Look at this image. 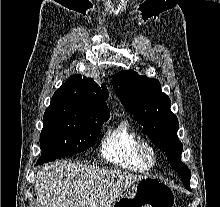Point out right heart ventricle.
Instances as JSON below:
<instances>
[{"instance_id": "e07e8e85", "label": "right heart ventricle", "mask_w": 220, "mask_h": 207, "mask_svg": "<svg viewBox=\"0 0 220 207\" xmlns=\"http://www.w3.org/2000/svg\"><path fill=\"white\" fill-rule=\"evenodd\" d=\"M138 137L127 121H121L105 134L100 152L107 161L129 170L142 171L148 167L136 152Z\"/></svg>"}]
</instances>
